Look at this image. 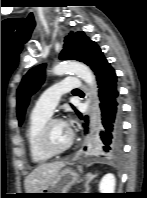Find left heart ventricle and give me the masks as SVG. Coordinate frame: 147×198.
I'll return each instance as SVG.
<instances>
[{
  "mask_svg": "<svg viewBox=\"0 0 147 198\" xmlns=\"http://www.w3.org/2000/svg\"><path fill=\"white\" fill-rule=\"evenodd\" d=\"M49 135L52 146L61 148L68 142L70 131L62 124V122H54L50 126Z\"/></svg>",
  "mask_w": 147,
  "mask_h": 198,
  "instance_id": "left-heart-ventricle-1",
  "label": "left heart ventricle"
}]
</instances>
